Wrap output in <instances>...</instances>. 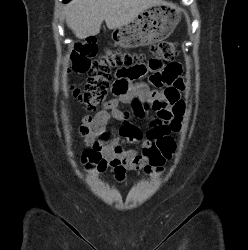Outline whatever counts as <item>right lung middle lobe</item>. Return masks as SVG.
I'll use <instances>...</instances> for the list:
<instances>
[{"instance_id": "dd1d6c3e", "label": "right lung middle lobe", "mask_w": 248, "mask_h": 250, "mask_svg": "<svg viewBox=\"0 0 248 250\" xmlns=\"http://www.w3.org/2000/svg\"><path fill=\"white\" fill-rule=\"evenodd\" d=\"M69 0H64V2H68Z\"/></svg>"}]
</instances>
